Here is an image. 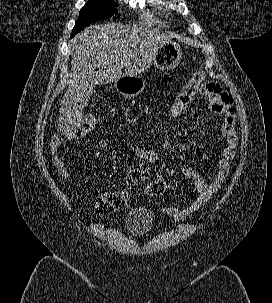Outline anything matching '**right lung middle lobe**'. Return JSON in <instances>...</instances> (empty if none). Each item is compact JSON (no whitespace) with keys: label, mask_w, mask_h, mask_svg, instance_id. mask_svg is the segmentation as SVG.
Returning a JSON list of instances; mask_svg holds the SVG:
<instances>
[{"label":"right lung middle lobe","mask_w":272,"mask_h":303,"mask_svg":"<svg viewBox=\"0 0 272 303\" xmlns=\"http://www.w3.org/2000/svg\"><path fill=\"white\" fill-rule=\"evenodd\" d=\"M117 4L111 0H89L80 10L79 18L73 28L71 38L83 30L88 24L108 19L117 13Z\"/></svg>","instance_id":"obj_1"}]
</instances>
